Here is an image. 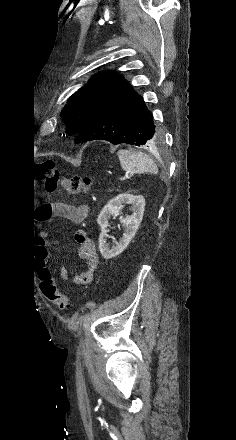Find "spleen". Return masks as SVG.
I'll return each mask as SVG.
<instances>
[{"label":"spleen","instance_id":"1","mask_svg":"<svg viewBox=\"0 0 236 440\" xmlns=\"http://www.w3.org/2000/svg\"><path fill=\"white\" fill-rule=\"evenodd\" d=\"M121 167L127 172L138 174L152 173L157 174L158 168L149 155L133 150L120 149L117 152Z\"/></svg>","mask_w":236,"mask_h":440}]
</instances>
